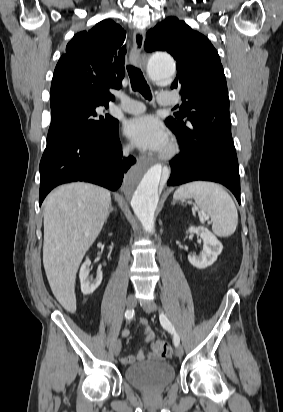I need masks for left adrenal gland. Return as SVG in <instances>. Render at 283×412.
<instances>
[{
    "label": "left adrenal gland",
    "mask_w": 283,
    "mask_h": 412,
    "mask_svg": "<svg viewBox=\"0 0 283 412\" xmlns=\"http://www.w3.org/2000/svg\"><path fill=\"white\" fill-rule=\"evenodd\" d=\"M175 203H176V199L173 200L172 205H175Z\"/></svg>",
    "instance_id": "obj_1"
}]
</instances>
